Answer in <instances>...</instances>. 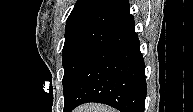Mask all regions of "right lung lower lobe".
Returning a JSON list of instances; mask_svg holds the SVG:
<instances>
[{"label": "right lung lower lobe", "mask_w": 193, "mask_h": 112, "mask_svg": "<svg viewBox=\"0 0 193 112\" xmlns=\"http://www.w3.org/2000/svg\"><path fill=\"white\" fill-rule=\"evenodd\" d=\"M133 21L116 32L79 72L64 112L87 102L110 105L121 112H144L145 65Z\"/></svg>", "instance_id": "98d812e1"}]
</instances>
